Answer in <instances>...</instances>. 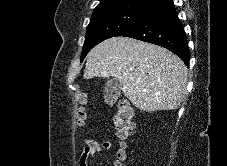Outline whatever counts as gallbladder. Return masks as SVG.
<instances>
[{
    "instance_id": "gallbladder-1",
    "label": "gallbladder",
    "mask_w": 227,
    "mask_h": 166,
    "mask_svg": "<svg viewBox=\"0 0 227 166\" xmlns=\"http://www.w3.org/2000/svg\"><path fill=\"white\" fill-rule=\"evenodd\" d=\"M121 91L122 83L116 78L109 79L104 90L105 102L113 104L120 96Z\"/></svg>"
}]
</instances>
